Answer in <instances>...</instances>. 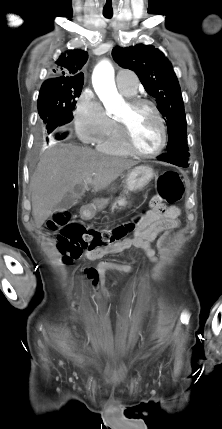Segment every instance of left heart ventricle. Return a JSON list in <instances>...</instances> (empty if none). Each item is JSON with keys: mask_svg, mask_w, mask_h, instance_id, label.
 <instances>
[{"mask_svg": "<svg viewBox=\"0 0 222 429\" xmlns=\"http://www.w3.org/2000/svg\"><path fill=\"white\" fill-rule=\"evenodd\" d=\"M127 120L135 146L143 152L155 151L161 142L160 127L153 112L147 107L131 110L127 103L117 115Z\"/></svg>", "mask_w": 222, "mask_h": 429, "instance_id": "b2bd125f", "label": "left heart ventricle"}]
</instances>
